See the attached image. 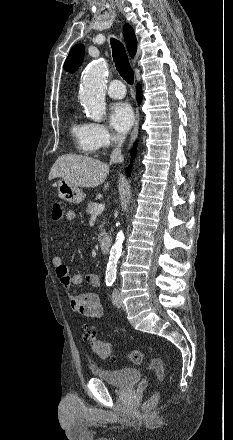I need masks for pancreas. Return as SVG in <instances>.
<instances>
[{
    "instance_id": "cf45deb5",
    "label": "pancreas",
    "mask_w": 233,
    "mask_h": 440,
    "mask_svg": "<svg viewBox=\"0 0 233 440\" xmlns=\"http://www.w3.org/2000/svg\"><path fill=\"white\" fill-rule=\"evenodd\" d=\"M97 206H98L97 203H95V202H90V203L88 204V206H87L86 213L89 214V215H91V216L94 215V211H95V209H96ZM103 226H104L103 224L100 225L101 233H100L99 236H98V239H99V240L101 239L102 236H104V235L106 234L105 229H103Z\"/></svg>"
}]
</instances>
